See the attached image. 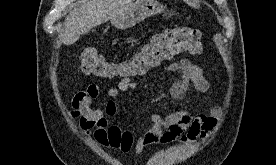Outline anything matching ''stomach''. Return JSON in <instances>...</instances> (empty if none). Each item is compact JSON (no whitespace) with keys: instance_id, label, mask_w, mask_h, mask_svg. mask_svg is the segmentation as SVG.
<instances>
[{"instance_id":"0dacf381","label":"stomach","mask_w":276,"mask_h":165,"mask_svg":"<svg viewBox=\"0 0 276 165\" xmlns=\"http://www.w3.org/2000/svg\"><path fill=\"white\" fill-rule=\"evenodd\" d=\"M167 12L166 6L161 5L157 0H136L126 11L112 19L111 23L115 28L125 30L147 17Z\"/></svg>"}]
</instances>
